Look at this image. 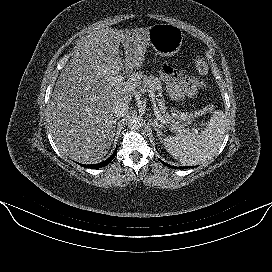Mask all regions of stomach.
Listing matches in <instances>:
<instances>
[{
    "mask_svg": "<svg viewBox=\"0 0 272 272\" xmlns=\"http://www.w3.org/2000/svg\"><path fill=\"white\" fill-rule=\"evenodd\" d=\"M182 31L175 25L158 23L150 27L149 43L161 57L174 56L181 48Z\"/></svg>",
    "mask_w": 272,
    "mask_h": 272,
    "instance_id": "0dacf381",
    "label": "stomach"
}]
</instances>
